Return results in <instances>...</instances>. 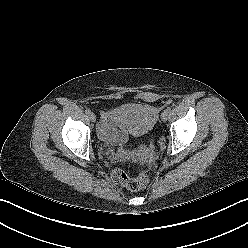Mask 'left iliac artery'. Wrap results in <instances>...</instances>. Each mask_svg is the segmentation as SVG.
<instances>
[{
    "label": "left iliac artery",
    "mask_w": 248,
    "mask_h": 248,
    "mask_svg": "<svg viewBox=\"0 0 248 248\" xmlns=\"http://www.w3.org/2000/svg\"><path fill=\"white\" fill-rule=\"evenodd\" d=\"M167 110H169V112L171 111V107H167Z\"/></svg>",
    "instance_id": "1"
}]
</instances>
